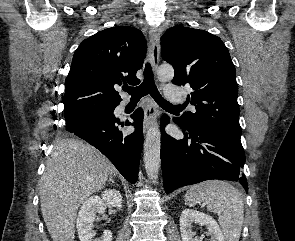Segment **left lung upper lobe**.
Returning a JSON list of instances; mask_svg holds the SVG:
<instances>
[{
  "label": "left lung upper lobe",
  "instance_id": "5c2ea615",
  "mask_svg": "<svg viewBox=\"0 0 295 241\" xmlns=\"http://www.w3.org/2000/svg\"><path fill=\"white\" fill-rule=\"evenodd\" d=\"M162 58L170 63L176 85L193 89L187 100L196 112H185L180 123L241 137L235 67L221 39L207 31L174 26L161 37Z\"/></svg>",
  "mask_w": 295,
  "mask_h": 241
}]
</instances>
